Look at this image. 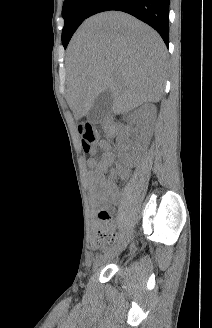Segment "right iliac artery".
I'll return each mask as SVG.
<instances>
[{
	"instance_id": "right-iliac-artery-1",
	"label": "right iliac artery",
	"mask_w": 212,
	"mask_h": 328,
	"mask_svg": "<svg viewBox=\"0 0 212 328\" xmlns=\"http://www.w3.org/2000/svg\"><path fill=\"white\" fill-rule=\"evenodd\" d=\"M122 237H123V231H121V232L119 233V236H118V238H117V241L120 240Z\"/></svg>"
}]
</instances>
